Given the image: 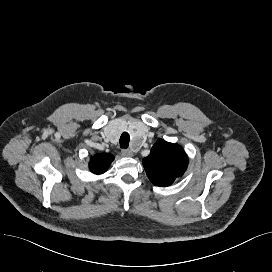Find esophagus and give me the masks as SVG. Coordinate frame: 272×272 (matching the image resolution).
<instances>
[{
	"mask_svg": "<svg viewBox=\"0 0 272 272\" xmlns=\"http://www.w3.org/2000/svg\"><path fill=\"white\" fill-rule=\"evenodd\" d=\"M122 155H123L124 157H131V156H133V153H132V151L129 150V149H123V150H122Z\"/></svg>",
	"mask_w": 272,
	"mask_h": 272,
	"instance_id": "esophagus-1",
	"label": "esophagus"
}]
</instances>
